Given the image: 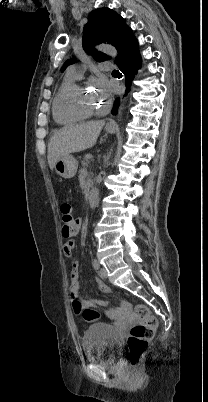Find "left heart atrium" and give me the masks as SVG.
I'll return each mask as SVG.
<instances>
[{
	"label": "left heart atrium",
	"mask_w": 208,
	"mask_h": 402,
	"mask_svg": "<svg viewBox=\"0 0 208 402\" xmlns=\"http://www.w3.org/2000/svg\"><path fill=\"white\" fill-rule=\"evenodd\" d=\"M99 87L105 96L110 95L113 90L112 85L106 81H101Z\"/></svg>",
	"instance_id": "39dd6f15"
}]
</instances>
